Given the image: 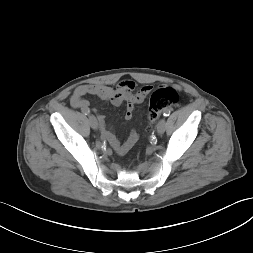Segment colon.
<instances>
[{"label":"colon","instance_id":"5ec220e1","mask_svg":"<svg viewBox=\"0 0 253 253\" xmlns=\"http://www.w3.org/2000/svg\"><path fill=\"white\" fill-rule=\"evenodd\" d=\"M179 95L173 87H159L150 97L148 120L151 125L160 115V113L175 105L178 101Z\"/></svg>","mask_w":253,"mask_h":253}]
</instances>
